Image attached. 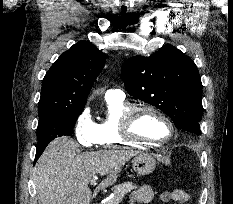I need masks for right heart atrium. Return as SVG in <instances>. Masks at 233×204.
Masks as SVG:
<instances>
[{
	"label": "right heart atrium",
	"instance_id": "d8ad5b80",
	"mask_svg": "<svg viewBox=\"0 0 233 204\" xmlns=\"http://www.w3.org/2000/svg\"><path fill=\"white\" fill-rule=\"evenodd\" d=\"M77 141L84 147L97 145L96 123L92 120L88 108H84L77 116L74 124Z\"/></svg>",
	"mask_w": 233,
	"mask_h": 204
}]
</instances>
